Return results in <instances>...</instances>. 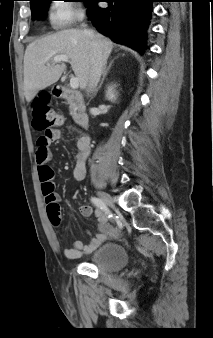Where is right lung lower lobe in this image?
Returning a JSON list of instances; mask_svg holds the SVG:
<instances>
[{
    "instance_id": "1",
    "label": "right lung lower lobe",
    "mask_w": 213,
    "mask_h": 338,
    "mask_svg": "<svg viewBox=\"0 0 213 338\" xmlns=\"http://www.w3.org/2000/svg\"><path fill=\"white\" fill-rule=\"evenodd\" d=\"M107 2L100 8L98 2ZM158 0H93L87 15L95 28L113 41L143 53L152 3Z\"/></svg>"
}]
</instances>
